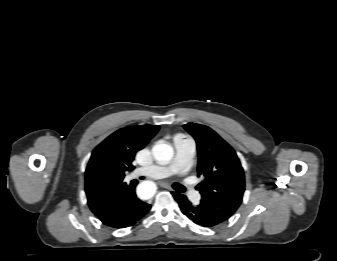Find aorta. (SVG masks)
Wrapping results in <instances>:
<instances>
[{
  "mask_svg": "<svg viewBox=\"0 0 337 261\" xmlns=\"http://www.w3.org/2000/svg\"><path fill=\"white\" fill-rule=\"evenodd\" d=\"M152 154L156 161L160 164H167L173 157L174 150L168 144H156L152 148ZM156 192V185L152 181L141 182L137 186V194L140 198L149 199Z\"/></svg>",
  "mask_w": 337,
  "mask_h": 261,
  "instance_id": "762f6f07",
  "label": "aorta"
}]
</instances>
